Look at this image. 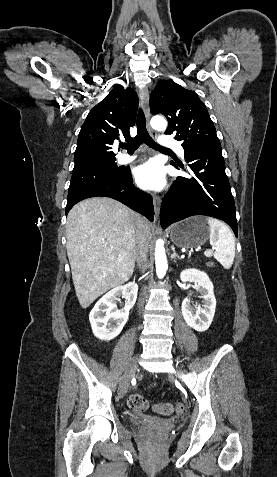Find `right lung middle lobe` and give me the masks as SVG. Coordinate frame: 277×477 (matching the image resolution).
I'll return each mask as SVG.
<instances>
[{"instance_id":"obj_1","label":"right lung middle lobe","mask_w":277,"mask_h":477,"mask_svg":"<svg viewBox=\"0 0 277 477\" xmlns=\"http://www.w3.org/2000/svg\"><path fill=\"white\" fill-rule=\"evenodd\" d=\"M127 170L117 166L115 160L74 167L68 195L89 184L104 180H123Z\"/></svg>"}]
</instances>
